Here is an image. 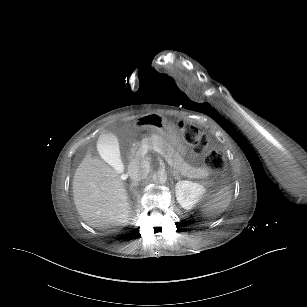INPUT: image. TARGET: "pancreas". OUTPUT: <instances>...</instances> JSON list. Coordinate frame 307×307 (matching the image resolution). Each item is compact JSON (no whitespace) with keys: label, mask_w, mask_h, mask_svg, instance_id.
I'll return each instance as SVG.
<instances>
[{"label":"pancreas","mask_w":307,"mask_h":307,"mask_svg":"<svg viewBox=\"0 0 307 307\" xmlns=\"http://www.w3.org/2000/svg\"><path fill=\"white\" fill-rule=\"evenodd\" d=\"M150 150H153L154 147L160 148L162 152L165 153L166 160L173 161L183 173H190V175H197L198 177H206L208 175L207 169L205 167L194 166L193 164H186L184 159H181L179 154L175 153L172 149L169 148V144L156 134L151 135V137L144 141Z\"/></svg>","instance_id":"1"}]
</instances>
